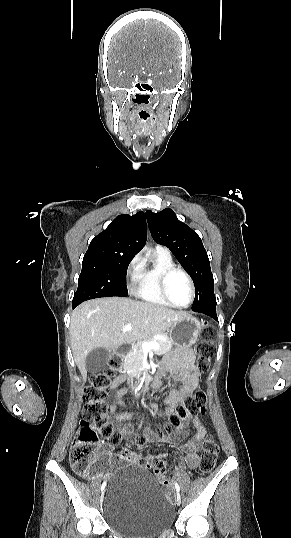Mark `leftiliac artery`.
I'll return each instance as SVG.
<instances>
[{
    "label": "left iliac artery",
    "instance_id": "1",
    "mask_svg": "<svg viewBox=\"0 0 291 538\" xmlns=\"http://www.w3.org/2000/svg\"><path fill=\"white\" fill-rule=\"evenodd\" d=\"M175 489H176L177 492L180 491V487H179V485H178L176 482H175Z\"/></svg>",
    "mask_w": 291,
    "mask_h": 538
}]
</instances>
